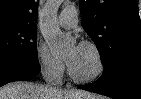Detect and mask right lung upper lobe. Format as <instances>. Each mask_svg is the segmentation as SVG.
Instances as JSON below:
<instances>
[{"instance_id":"obj_1","label":"right lung upper lobe","mask_w":141,"mask_h":99,"mask_svg":"<svg viewBox=\"0 0 141 99\" xmlns=\"http://www.w3.org/2000/svg\"><path fill=\"white\" fill-rule=\"evenodd\" d=\"M37 0H0V25L36 26Z\"/></svg>"}]
</instances>
